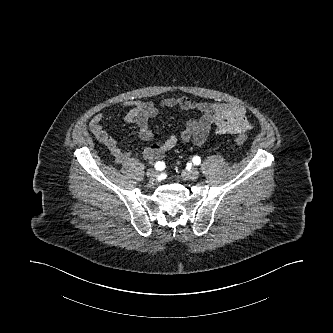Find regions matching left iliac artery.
<instances>
[{
  "label": "left iliac artery",
  "mask_w": 333,
  "mask_h": 333,
  "mask_svg": "<svg viewBox=\"0 0 333 333\" xmlns=\"http://www.w3.org/2000/svg\"><path fill=\"white\" fill-rule=\"evenodd\" d=\"M193 164L199 165L201 163V159L199 156H194L192 159Z\"/></svg>",
  "instance_id": "left-iliac-artery-1"
}]
</instances>
